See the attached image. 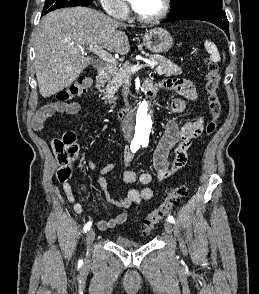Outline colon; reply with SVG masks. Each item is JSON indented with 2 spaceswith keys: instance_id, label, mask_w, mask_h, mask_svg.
I'll return each mask as SVG.
<instances>
[{
  "instance_id": "obj_1",
  "label": "colon",
  "mask_w": 259,
  "mask_h": 294,
  "mask_svg": "<svg viewBox=\"0 0 259 294\" xmlns=\"http://www.w3.org/2000/svg\"><path fill=\"white\" fill-rule=\"evenodd\" d=\"M208 108L211 114V120L206 125L205 132L211 135L217 128L218 119L221 113V104L218 97V89L221 82V73L216 63L209 60L207 62V72L205 76ZM91 79L88 76H81L71 85L57 94L59 101H69L86 92L90 87ZM75 137L72 133H67L63 140L55 141V151L60 163L57 172L60 181H66L70 178L72 170L71 161L77 154V147L74 143ZM188 194L186 184L170 189L159 205L150 212L142 221V230L144 233H150L173 209L178 201Z\"/></svg>"
}]
</instances>
